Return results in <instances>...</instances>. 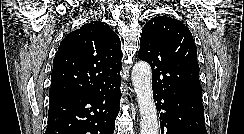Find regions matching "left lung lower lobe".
Returning <instances> with one entry per match:
<instances>
[{
	"mask_svg": "<svg viewBox=\"0 0 244 134\" xmlns=\"http://www.w3.org/2000/svg\"><path fill=\"white\" fill-rule=\"evenodd\" d=\"M160 114L161 134H207L202 99L153 89Z\"/></svg>",
	"mask_w": 244,
	"mask_h": 134,
	"instance_id": "left-lung-lower-lobe-1",
	"label": "left lung lower lobe"
}]
</instances>
